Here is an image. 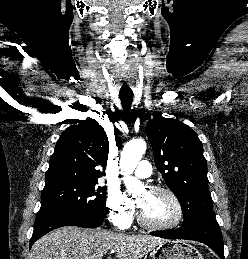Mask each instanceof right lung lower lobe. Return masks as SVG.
I'll return each instance as SVG.
<instances>
[{
  "mask_svg": "<svg viewBox=\"0 0 248 259\" xmlns=\"http://www.w3.org/2000/svg\"><path fill=\"white\" fill-rule=\"evenodd\" d=\"M102 223L103 218L89 219L75 212L56 209L39 210L34 223V231L30 241V247L38 238L59 227L78 226L84 228H95L102 225Z\"/></svg>",
  "mask_w": 248,
  "mask_h": 259,
  "instance_id": "obj_1",
  "label": "right lung lower lobe"
}]
</instances>
